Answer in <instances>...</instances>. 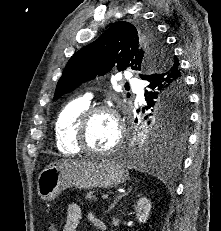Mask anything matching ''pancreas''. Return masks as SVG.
<instances>
[{
    "instance_id": "pancreas-1",
    "label": "pancreas",
    "mask_w": 221,
    "mask_h": 231,
    "mask_svg": "<svg viewBox=\"0 0 221 231\" xmlns=\"http://www.w3.org/2000/svg\"><path fill=\"white\" fill-rule=\"evenodd\" d=\"M85 198H86V199H89V200H97L94 191L88 192V193L85 195Z\"/></svg>"
}]
</instances>
